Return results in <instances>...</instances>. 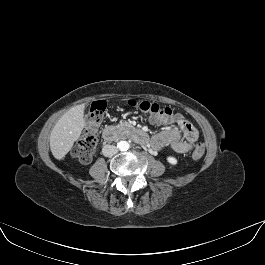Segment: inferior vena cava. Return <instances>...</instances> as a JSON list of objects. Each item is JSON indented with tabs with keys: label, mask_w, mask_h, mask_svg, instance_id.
<instances>
[{
	"label": "inferior vena cava",
	"mask_w": 265,
	"mask_h": 265,
	"mask_svg": "<svg viewBox=\"0 0 265 265\" xmlns=\"http://www.w3.org/2000/svg\"><path fill=\"white\" fill-rule=\"evenodd\" d=\"M118 152V148L114 145H105L102 148V154L105 157H112L113 155H115Z\"/></svg>",
	"instance_id": "obj_1"
}]
</instances>
